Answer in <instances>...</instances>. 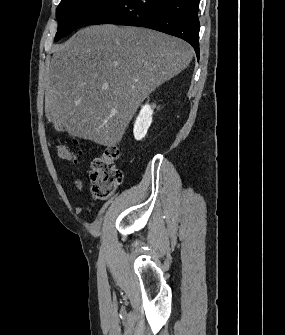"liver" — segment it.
<instances>
[{"label":"liver","mask_w":285,"mask_h":335,"mask_svg":"<svg viewBox=\"0 0 285 335\" xmlns=\"http://www.w3.org/2000/svg\"><path fill=\"white\" fill-rule=\"evenodd\" d=\"M52 52L47 120L101 146H117L145 98L193 58L179 38L111 24L82 28Z\"/></svg>","instance_id":"liver-1"}]
</instances>
